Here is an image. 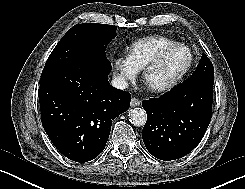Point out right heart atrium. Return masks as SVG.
Returning <instances> with one entry per match:
<instances>
[{
  "label": "right heart atrium",
  "mask_w": 245,
  "mask_h": 189,
  "mask_svg": "<svg viewBox=\"0 0 245 189\" xmlns=\"http://www.w3.org/2000/svg\"><path fill=\"white\" fill-rule=\"evenodd\" d=\"M113 71L116 79L123 86L133 81L138 73V70L131 64L127 57L116 58L113 61Z\"/></svg>",
  "instance_id": "1"
}]
</instances>
